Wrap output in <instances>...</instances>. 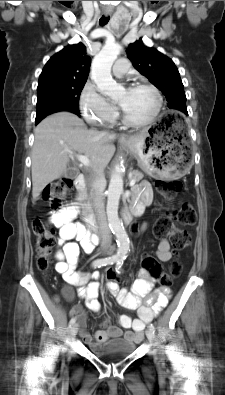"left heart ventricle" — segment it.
Instances as JSON below:
<instances>
[{
  "label": "left heart ventricle",
  "mask_w": 225,
  "mask_h": 395,
  "mask_svg": "<svg viewBox=\"0 0 225 395\" xmlns=\"http://www.w3.org/2000/svg\"><path fill=\"white\" fill-rule=\"evenodd\" d=\"M125 116L135 122L146 120L155 107L153 93L145 88L124 90L117 98Z\"/></svg>",
  "instance_id": "b2bd125f"
}]
</instances>
